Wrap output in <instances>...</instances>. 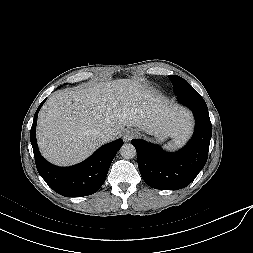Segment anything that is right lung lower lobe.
<instances>
[{
	"label": "right lung lower lobe",
	"mask_w": 253,
	"mask_h": 253,
	"mask_svg": "<svg viewBox=\"0 0 253 253\" xmlns=\"http://www.w3.org/2000/svg\"><path fill=\"white\" fill-rule=\"evenodd\" d=\"M44 102L45 100L35 112L30 131L35 163L40 176L55 192L65 197H82L97 192L105 182L111 162L123 141L118 139L103 145L87 160L77 165L54 166L40 155L35 136L38 112Z\"/></svg>",
	"instance_id": "right-lung-lower-lobe-1"
}]
</instances>
